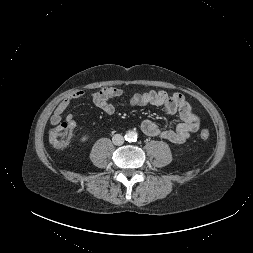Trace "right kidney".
I'll return each instance as SVG.
<instances>
[{"label":"right kidney","mask_w":253,"mask_h":253,"mask_svg":"<svg viewBox=\"0 0 253 253\" xmlns=\"http://www.w3.org/2000/svg\"><path fill=\"white\" fill-rule=\"evenodd\" d=\"M87 140V137L86 136H83L82 138H81V141L82 142H85Z\"/></svg>","instance_id":"obj_1"}]
</instances>
